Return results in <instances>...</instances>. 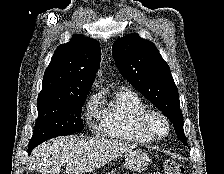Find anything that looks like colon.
I'll return each mask as SVG.
<instances>
[{
    "label": "colon",
    "instance_id": "colon-1",
    "mask_svg": "<svg viewBox=\"0 0 224 174\" xmlns=\"http://www.w3.org/2000/svg\"><path fill=\"white\" fill-rule=\"evenodd\" d=\"M164 172L165 174H184V167L176 161L168 160L164 164Z\"/></svg>",
    "mask_w": 224,
    "mask_h": 174
}]
</instances>
